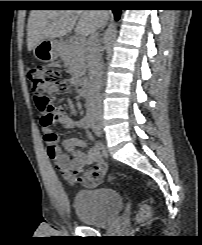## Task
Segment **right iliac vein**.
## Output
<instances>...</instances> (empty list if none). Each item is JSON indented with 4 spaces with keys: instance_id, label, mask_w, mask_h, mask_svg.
Segmentation results:
<instances>
[{
    "instance_id": "obj_1",
    "label": "right iliac vein",
    "mask_w": 202,
    "mask_h": 245,
    "mask_svg": "<svg viewBox=\"0 0 202 245\" xmlns=\"http://www.w3.org/2000/svg\"><path fill=\"white\" fill-rule=\"evenodd\" d=\"M95 126H96V127H100V126H101V123H100V122L95 123Z\"/></svg>"
}]
</instances>
